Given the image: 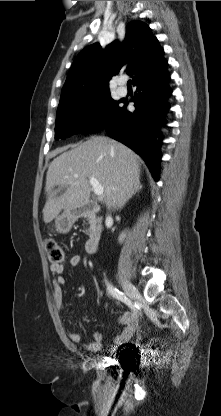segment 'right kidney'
Segmentation results:
<instances>
[{
	"label": "right kidney",
	"instance_id": "right-kidney-1",
	"mask_svg": "<svg viewBox=\"0 0 221 416\" xmlns=\"http://www.w3.org/2000/svg\"><path fill=\"white\" fill-rule=\"evenodd\" d=\"M126 237V233H122L120 236H119V241L120 242H122L123 240H124V238Z\"/></svg>",
	"mask_w": 221,
	"mask_h": 416
}]
</instances>
